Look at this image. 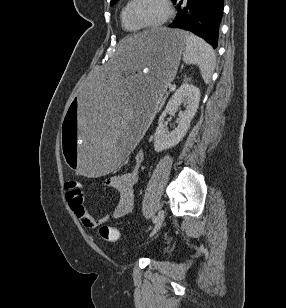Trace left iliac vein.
<instances>
[{
  "mask_svg": "<svg viewBox=\"0 0 286 308\" xmlns=\"http://www.w3.org/2000/svg\"><path fill=\"white\" fill-rule=\"evenodd\" d=\"M164 217H165L164 211L162 209L159 210L157 217H156L155 226H154L153 231L150 234V237H153L159 231L164 221Z\"/></svg>",
  "mask_w": 286,
  "mask_h": 308,
  "instance_id": "left-iliac-vein-1",
  "label": "left iliac vein"
}]
</instances>
